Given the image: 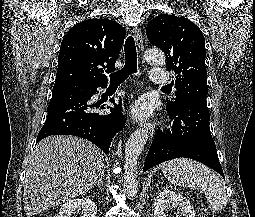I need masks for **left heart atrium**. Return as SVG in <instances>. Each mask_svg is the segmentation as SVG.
<instances>
[{
    "label": "left heart atrium",
    "mask_w": 255,
    "mask_h": 217,
    "mask_svg": "<svg viewBox=\"0 0 255 217\" xmlns=\"http://www.w3.org/2000/svg\"><path fill=\"white\" fill-rule=\"evenodd\" d=\"M153 105L150 100L142 98L136 101L131 107V114L138 120H144L151 116Z\"/></svg>",
    "instance_id": "left-heart-atrium-1"
}]
</instances>
